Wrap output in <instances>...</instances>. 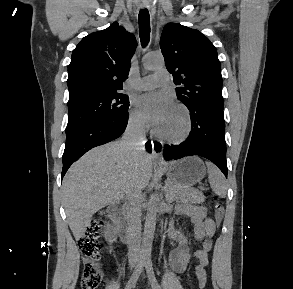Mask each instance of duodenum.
I'll return each mask as SVG.
<instances>
[{"mask_svg": "<svg viewBox=\"0 0 293 289\" xmlns=\"http://www.w3.org/2000/svg\"><path fill=\"white\" fill-rule=\"evenodd\" d=\"M122 242L130 244L134 241L137 230L133 221L125 213V203L115 204L108 208Z\"/></svg>", "mask_w": 293, "mask_h": 289, "instance_id": "1", "label": "duodenum"}]
</instances>
